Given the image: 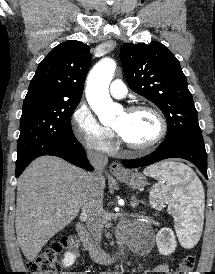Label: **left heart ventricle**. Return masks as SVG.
Masks as SVG:
<instances>
[{
	"label": "left heart ventricle",
	"mask_w": 215,
	"mask_h": 274,
	"mask_svg": "<svg viewBox=\"0 0 215 274\" xmlns=\"http://www.w3.org/2000/svg\"><path fill=\"white\" fill-rule=\"evenodd\" d=\"M113 128L127 142L140 145L148 143L157 135L159 124L149 111H123L114 121Z\"/></svg>",
	"instance_id": "obj_1"
}]
</instances>
